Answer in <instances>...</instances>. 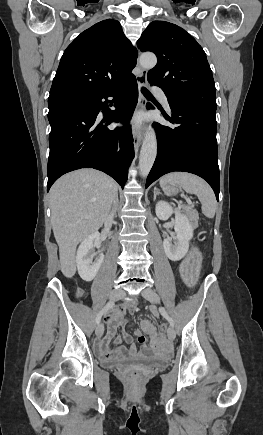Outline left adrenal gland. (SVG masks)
Segmentation results:
<instances>
[{"label": "left adrenal gland", "mask_w": 263, "mask_h": 435, "mask_svg": "<svg viewBox=\"0 0 263 435\" xmlns=\"http://www.w3.org/2000/svg\"><path fill=\"white\" fill-rule=\"evenodd\" d=\"M159 194L158 190L155 188L154 189V201L156 200V196Z\"/></svg>", "instance_id": "obj_1"}]
</instances>
